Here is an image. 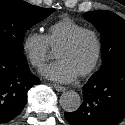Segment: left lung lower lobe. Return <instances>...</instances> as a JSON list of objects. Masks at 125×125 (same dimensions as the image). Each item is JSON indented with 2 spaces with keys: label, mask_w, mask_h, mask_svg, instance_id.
<instances>
[{
  "label": "left lung lower lobe",
  "mask_w": 125,
  "mask_h": 125,
  "mask_svg": "<svg viewBox=\"0 0 125 125\" xmlns=\"http://www.w3.org/2000/svg\"><path fill=\"white\" fill-rule=\"evenodd\" d=\"M83 99L76 111L64 114L71 125H118L125 117V62L93 74Z\"/></svg>",
  "instance_id": "0a47b994"
}]
</instances>
